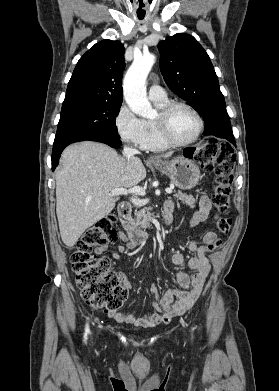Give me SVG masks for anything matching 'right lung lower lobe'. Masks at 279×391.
<instances>
[{
	"instance_id": "98d812e1",
	"label": "right lung lower lobe",
	"mask_w": 279,
	"mask_h": 391,
	"mask_svg": "<svg viewBox=\"0 0 279 391\" xmlns=\"http://www.w3.org/2000/svg\"><path fill=\"white\" fill-rule=\"evenodd\" d=\"M83 140H92V141H99L108 144L111 147L118 148L121 145V141L119 139V136L116 132L105 130L100 131L96 133L87 134L78 138H75L70 141L61 142L58 144L53 145V152H52V170H54L59 162L60 155L62 151L64 150L67 145L70 143L83 141Z\"/></svg>"
}]
</instances>
